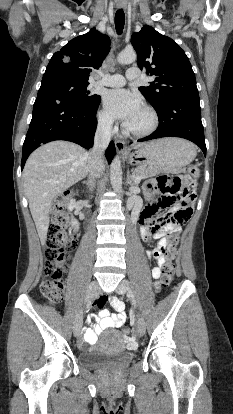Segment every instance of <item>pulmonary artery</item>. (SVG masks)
<instances>
[{
    "label": "pulmonary artery",
    "instance_id": "obj_1",
    "mask_svg": "<svg viewBox=\"0 0 233 414\" xmlns=\"http://www.w3.org/2000/svg\"><path fill=\"white\" fill-rule=\"evenodd\" d=\"M140 77V71L136 67H131L127 70L126 75L113 74L105 76L100 80V84L109 87H120L123 86L127 80H135Z\"/></svg>",
    "mask_w": 233,
    "mask_h": 414
}]
</instances>
